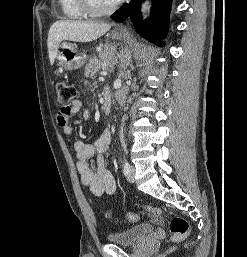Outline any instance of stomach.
I'll use <instances>...</instances> for the list:
<instances>
[{"label": "stomach", "instance_id": "1", "mask_svg": "<svg viewBox=\"0 0 247 257\" xmlns=\"http://www.w3.org/2000/svg\"><path fill=\"white\" fill-rule=\"evenodd\" d=\"M110 37L113 41H123L125 40L126 35L124 33L112 32ZM116 46L117 45L115 43L107 46V48L114 47L115 49L114 53L109 58H111L112 61H117L119 58L120 62L125 64L129 61V51L128 49H122L117 52ZM59 48L60 50L57 53V60L65 70H76L84 65L86 58L78 52L75 44L64 42L59 46ZM103 54L105 55V52H103Z\"/></svg>", "mask_w": 247, "mask_h": 257}]
</instances>
